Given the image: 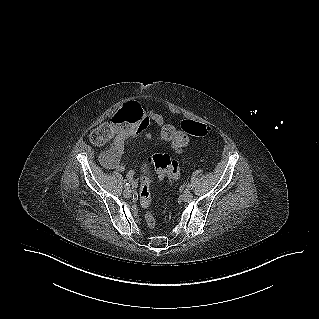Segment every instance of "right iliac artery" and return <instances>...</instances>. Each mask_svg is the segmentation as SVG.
Masks as SVG:
<instances>
[{
  "label": "right iliac artery",
  "instance_id": "1",
  "mask_svg": "<svg viewBox=\"0 0 319 319\" xmlns=\"http://www.w3.org/2000/svg\"><path fill=\"white\" fill-rule=\"evenodd\" d=\"M124 187H125L126 189H129V188H130V184H129V183H126V184L124 185Z\"/></svg>",
  "mask_w": 319,
  "mask_h": 319
}]
</instances>
